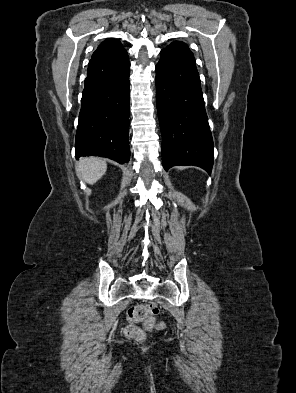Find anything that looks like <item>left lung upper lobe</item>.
Instances as JSON below:
<instances>
[{"label": "left lung upper lobe", "instance_id": "obj_1", "mask_svg": "<svg viewBox=\"0 0 296 393\" xmlns=\"http://www.w3.org/2000/svg\"><path fill=\"white\" fill-rule=\"evenodd\" d=\"M162 51L168 52V53H174V54H178V55L193 56V54L189 50L188 46L185 43L179 42V41L172 42L169 46H167Z\"/></svg>", "mask_w": 296, "mask_h": 393}]
</instances>
